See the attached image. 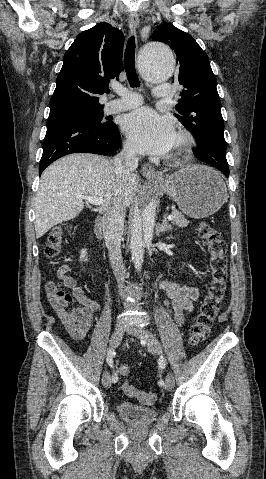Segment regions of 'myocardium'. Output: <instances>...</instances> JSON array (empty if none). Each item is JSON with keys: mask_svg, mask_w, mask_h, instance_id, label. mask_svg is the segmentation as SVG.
I'll use <instances>...</instances> for the list:
<instances>
[{"mask_svg": "<svg viewBox=\"0 0 266 479\" xmlns=\"http://www.w3.org/2000/svg\"><path fill=\"white\" fill-rule=\"evenodd\" d=\"M177 144L174 146L170 155L172 159H180L189 154L195 144L194 137L186 130H180L176 134Z\"/></svg>", "mask_w": 266, "mask_h": 479, "instance_id": "myocardium-1", "label": "myocardium"}]
</instances>
